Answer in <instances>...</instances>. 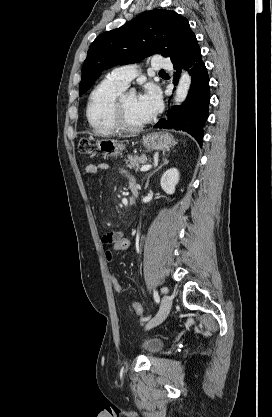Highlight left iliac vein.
<instances>
[{"label":"left iliac vein","mask_w":272,"mask_h":417,"mask_svg":"<svg viewBox=\"0 0 272 417\" xmlns=\"http://www.w3.org/2000/svg\"><path fill=\"white\" fill-rule=\"evenodd\" d=\"M172 306V298L169 295H164L161 302V307L157 315L146 324V329H151L161 324L168 316Z\"/></svg>","instance_id":"1"}]
</instances>
